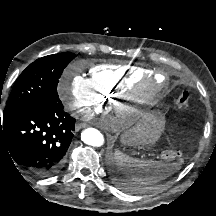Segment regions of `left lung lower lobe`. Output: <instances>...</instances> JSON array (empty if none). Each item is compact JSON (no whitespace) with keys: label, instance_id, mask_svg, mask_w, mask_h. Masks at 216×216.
I'll return each instance as SVG.
<instances>
[{"label":"left lung lower lobe","instance_id":"1","mask_svg":"<svg viewBox=\"0 0 216 216\" xmlns=\"http://www.w3.org/2000/svg\"><path fill=\"white\" fill-rule=\"evenodd\" d=\"M114 181L115 183L125 189V190H135L137 189V185L130 179V177L125 174L124 172H122V174L120 173H115L114 174Z\"/></svg>","mask_w":216,"mask_h":216}]
</instances>
